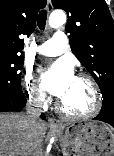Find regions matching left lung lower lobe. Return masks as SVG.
<instances>
[{
    "label": "left lung lower lobe",
    "mask_w": 114,
    "mask_h": 156,
    "mask_svg": "<svg viewBox=\"0 0 114 156\" xmlns=\"http://www.w3.org/2000/svg\"><path fill=\"white\" fill-rule=\"evenodd\" d=\"M94 119L106 122L114 127V111H101Z\"/></svg>",
    "instance_id": "0a47b994"
}]
</instances>
